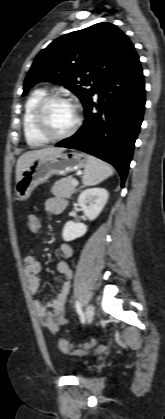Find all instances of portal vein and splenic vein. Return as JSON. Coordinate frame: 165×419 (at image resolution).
<instances>
[{
    "mask_svg": "<svg viewBox=\"0 0 165 419\" xmlns=\"http://www.w3.org/2000/svg\"><path fill=\"white\" fill-rule=\"evenodd\" d=\"M71 184H72L73 186H77V185H78V181H77V180H73V181L71 182Z\"/></svg>",
    "mask_w": 165,
    "mask_h": 419,
    "instance_id": "1",
    "label": "portal vein and splenic vein"
}]
</instances>
